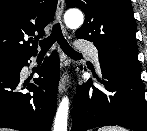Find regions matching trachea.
Masks as SVG:
<instances>
[{"label":"trachea","instance_id":"3493384b","mask_svg":"<svg viewBox=\"0 0 147 131\" xmlns=\"http://www.w3.org/2000/svg\"><path fill=\"white\" fill-rule=\"evenodd\" d=\"M58 42L62 50L70 57L77 58L81 57V53L75 51L64 38L61 27L59 23L53 26L52 33L49 37L40 41L39 45L41 47V54L46 53L54 42Z\"/></svg>","mask_w":147,"mask_h":131}]
</instances>
